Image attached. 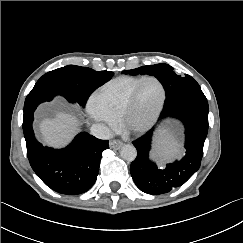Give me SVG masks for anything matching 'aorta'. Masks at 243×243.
I'll return each instance as SVG.
<instances>
[{
  "label": "aorta",
  "mask_w": 243,
  "mask_h": 243,
  "mask_svg": "<svg viewBox=\"0 0 243 243\" xmlns=\"http://www.w3.org/2000/svg\"><path fill=\"white\" fill-rule=\"evenodd\" d=\"M120 155L124 160L132 162L137 157V150L133 145L126 144L122 146L120 150Z\"/></svg>",
  "instance_id": "aorta-1"
}]
</instances>
